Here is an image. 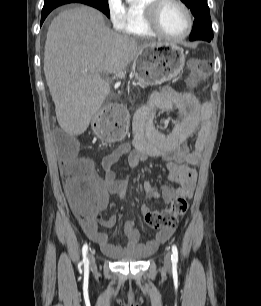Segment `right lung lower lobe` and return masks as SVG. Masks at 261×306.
Returning <instances> with one entry per match:
<instances>
[{
	"label": "right lung lower lobe",
	"instance_id": "right-lung-lower-lobe-1",
	"mask_svg": "<svg viewBox=\"0 0 261 306\" xmlns=\"http://www.w3.org/2000/svg\"><path fill=\"white\" fill-rule=\"evenodd\" d=\"M51 11H52V10L42 11L41 25H42L43 21L45 20V18L47 17V15H48Z\"/></svg>",
	"mask_w": 261,
	"mask_h": 306
}]
</instances>
